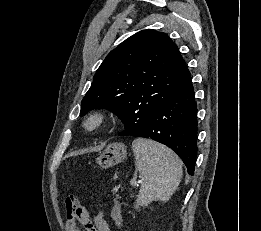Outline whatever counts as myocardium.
Wrapping results in <instances>:
<instances>
[{"mask_svg": "<svg viewBox=\"0 0 261 231\" xmlns=\"http://www.w3.org/2000/svg\"><path fill=\"white\" fill-rule=\"evenodd\" d=\"M108 120V116L103 110H94L88 113L82 121V128L92 132L98 130Z\"/></svg>", "mask_w": 261, "mask_h": 231, "instance_id": "f54148a6", "label": "myocardium"}]
</instances>
